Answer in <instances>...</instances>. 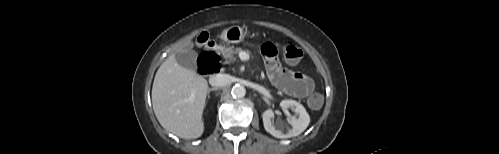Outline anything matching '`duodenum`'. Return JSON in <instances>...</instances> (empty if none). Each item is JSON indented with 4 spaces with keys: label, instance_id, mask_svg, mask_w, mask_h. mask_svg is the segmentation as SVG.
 Masks as SVG:
<instances>
[{
    "label": "duodenum",
    "instance_id": "duodenum-1",
    "mask_svg": "<svg viewBox=\"0 0 499 154\" xmlns=\"http://www.w3.org/2000/svg\"><path fill=\"white\" fill-rule=\"evenodd\" d=\"M209 57L207 56H202L198 59V70L202 74H216L219 71L212 70L211 68L208 67L207 65V60Z\"/></svg>",
    "mask_w": 499,
    "mask_h": 154
}]
</instances>
